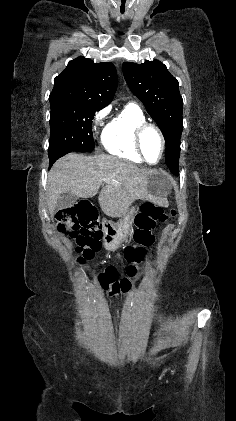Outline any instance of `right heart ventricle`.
Listing matches in <instances>:
<instances>
[{
  "instance_id": "right-heart-ventricle-1",
  "label": "right heart ventricle",
  "mask_w": 236,
  "mask_h": 421,
  "mask_svg": "<svg viewBox=\"0 0 236 421\" xmlns=\"http://www.w3.org/2000/svg\"><path fill=\"white\" fill-rule=\"evenodd\" d=\"M146 122L142 109L135 103H128L124 109L109 121L101 134V145L105 151L132 163L144 161L136 150L135 130Z\"/></svg>"
}]
</instances>
